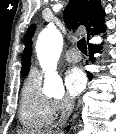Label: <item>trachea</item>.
<instances>
[{"label":"trachea","instance_id":"obj_1","mask_svg":"<svg viewBox=\"0 0 116 134\" xmlns=\"http://www.w3.org/2000/svg\"><path fill=\"white\" fill-rule=\"evenodd\" d=\"M77 47L82 53L87 54V44L85 38L78 41Z\"/></svg>","mask_w":116,"mask_h":134}]
</instances>
